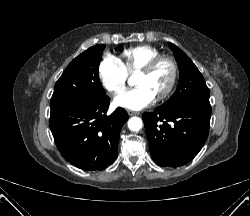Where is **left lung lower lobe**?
Wrapping results in <instances>:
<instances>
[{
    "mask_svg": "<svg viewBox=\"0 0 250 216\" xmlns=\"http://www.w3.org/2000/svg\"><path fill=\"white\" fill-rule=\"evenodd\" d=\"M211 111L189 106L173 111L159 107L142 115L150 153L162 167L190 162L203 147L209 132Z\"/></svg>",
    "mask_w": 250,
    "mask_h": 216,
    "instance_id": "1",
    "label": "left lung lower lobe"
}]
</instances>
